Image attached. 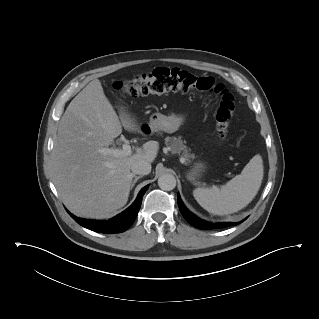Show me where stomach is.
<instances>
[{
    "label": "stomach",
    "instance_id": "obj_1",
    "mask_svg": "<svg viewBox=\"0 0 319 319\" xmlns=\"http://www.w3.org/2000/svg\"><path fill=\"white\" fill-rule=\"evenodd\" d=\"M184 121L183 115H175L172 114L170 116H165L161 113H154L150 117L149 128L152 132L156 131H164L167 133L176 132L179 127L182 125ZM204 170V165L198 163L189 173L188 178L192 181L196 179L200 175V173Z\"/></svg>",
    "mask_w": 319,
    "mask_h": 319
}]
</instances>
